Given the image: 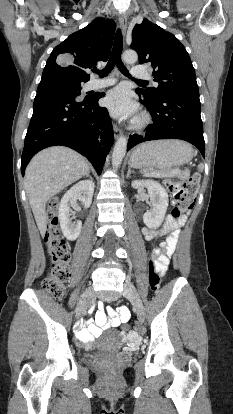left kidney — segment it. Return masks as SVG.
<instances>
[{"label":"left kidney","instance_id":"5707ae66","mask_svg":"<svg viewBox=\"0 0 233 414\" xmlns=\"http://www.w3.org/2000/svg\"><path fill=\"white\" fill-rule=\"evenodd\" d=\"M131 186L135 189L147 188L153 209L143 215V222L150 229L158 228L162 224L168 208V193L160 183L154 180H135Z\"/></svg>","mask_w":233,"mask_h":414}]
</instances>
